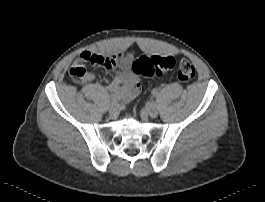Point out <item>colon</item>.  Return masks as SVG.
I'll use <instances>...</instances> for the list:
<instances>
[{
	"instance_id": "colon-1",
	"label": "colon",
	"mask_w": 265,
	"mask_h": 202,
	"mask_svg": "<svg viewBox=\"0 0 265 202\" xmlns=\"http://www.w3.org/2000/svg\"><path fill=\"white\" fill-rule=\"evenodd\" d=\"M176 66L173 57L145 56L138 57L132 64L133 71L144 77H160ZM70 77L75 81H82L85 78L86 70L83 66H72L69 69ZM196 70L194 66L186 59H182L175 70V77L181 82H188L194 79Z\"/></svg>"
}]
</instances>
